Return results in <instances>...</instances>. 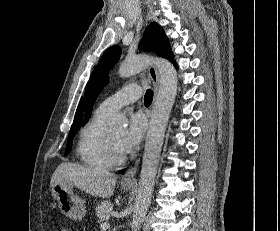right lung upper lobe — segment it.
<instances>
[{
  "mask_svg": "<svg viewBox=\"0 0 280 231\" xmlns=\"http://www.w3.org/2000/svg\"><path fill=\"white\" fill-rule=\"evenodd\" d=\"M82 115H83V99H81L76 114H75V118H74V122L73 125L71 127V129L74 128H80L81 123H82Z\"/></svg>",
  "mask_w": 280,
  "mask_h": 231,
  "instance_id": "cb5924a9",
  "label": "right lung upper lobe"
}]
</instances>
